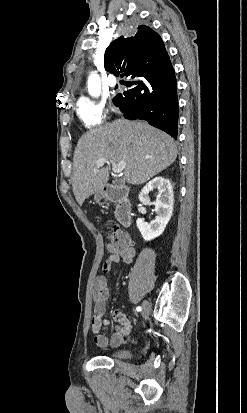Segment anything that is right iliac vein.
Here are the masks:
<instances>
[{
	"label": "right iliac vein",
	"instance_id": "1",
	"mask_svg": "<svg viewBox=\"0 0 247 413\" xmlns=\"http://www.w3.org/2000/svg\"><path fill=\"white\" fill-rule=\"evenodd\" d=\"M150 311V304L147 301H143L142 303V317L147 318Z\"/></svg>",
	"mask_w": 247,
	"mask_h": 413
}]
</instances>
